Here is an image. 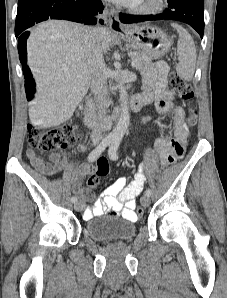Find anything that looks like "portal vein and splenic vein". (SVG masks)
<instances>
[{
    "mask_svg": "<svg viewBox=\"0 0 227 298\" xmlns=\"http://www.w3.org/2000/svg\"><path fill=\"white\" fill-rule=\"evenodd\" d=\"M137 61L135 60V59H132V63H131V66L133 67V68H135L136 66H137Z\"/></svg>",
    "mask_w": 227,
    "mask_h": 298,
    "instance_id": "18ae733b",
    "label": "portal vein and splenic vein"
}]
</instances>
